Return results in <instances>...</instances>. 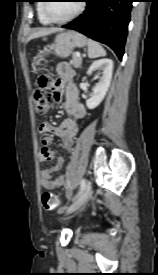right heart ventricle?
<instances>
[{"label":"right heart ventricle","mask_w":158,"mask_h":275,"mask_svg":"<svg viewBox=\"0 0 158 275\" xmlns=\"http://www.w3.org/2000/svg\"><path fill=\"white\" fill-rule=\"evenodd\" d=\"M43 1H39V3L37 4V15H38V19L39 22L43 25H49L51 22L47 20V18L45 17L44 13H43Z\"/></svg>","instance_id":"e07e8e85"}]
</instances>
